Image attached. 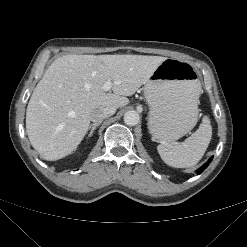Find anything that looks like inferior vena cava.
Returning <instances> with one entry per match:
<instances>
[{"mask_svg": "<svg viewBox=\"0 0 247 247\" xmlns=\"http://www.w3.org/2000/svg\"><path fill=\"white\" fill-rule=\"evenodd\" d=\"M115 107H106L103 109H96L91 112L90 120L94 123H101L105 118L115 114Z\"/></svg>", "mask_w": 247, "mask_h": 247, "instance_id": "1", "label": "inferior vena cava"}]
</instances>
